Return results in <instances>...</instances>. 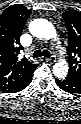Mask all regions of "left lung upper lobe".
<instances>
[{
  "label": "left lung upper lobe",
  "instance_id": "5c2ea615",
  "mask_svg": "<svg viewBox=\"0 0 81 124\" xmlns=\"http://www.w3.org/2000/svg\"><path fill=\"white\" fill-rule=\"evenodd\" d=\"M68 31L69 73L66 78L81 85V12L69 10L63 13Z\"/></svg>",
  "mask_w": 81,
  "mask_h": 124
}]
</instances>
